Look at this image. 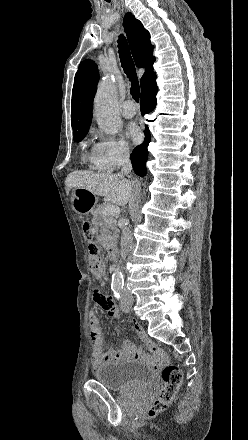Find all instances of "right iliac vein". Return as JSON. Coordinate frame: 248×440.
<instances>
[{
    "label": "right iliac vein",
    "instance_id": "1",
    "mask_svg": "<svg viewBox=\"0 0 248 440\" xmlns=\"http://www.w3.org/2000/svg\"><path fill=\"white\" fill-rule=\"evenodd\" d=\"M126 303L128 304V305H130V306H132L133 305V299H127L126 300Z\"/></svg>",
    "mask_w": 248,
    "mask_h": 440
}]
</instances>
